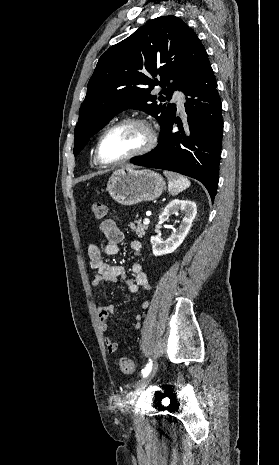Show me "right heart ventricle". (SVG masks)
Listing matches in <instances>:
<instances>
[{
	"label": "right heart ventricle",
	"mask_w": 279,
	"mask_h": 465,
	"mask_svg": "<svg viewBox=\"0 0 279 465\" xmlns=\"http://www.w3.org/2000/svg\"><path fill=\"white\" fill-rule=\"evenodd\" d=\"M94 161L97 163L96 159L94 158Z\"/></svg>",
	"instance_id": "e07e8e85"
}]
</instances>
